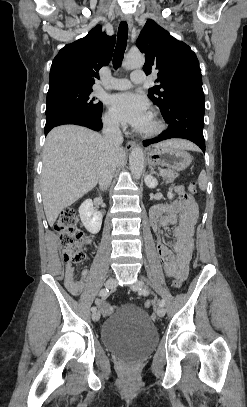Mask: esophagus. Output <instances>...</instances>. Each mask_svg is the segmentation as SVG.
<instances>
[{
  "label": "esophagus",
  "instance_id": "1",
  "mask_svg": "<svg viewBox=\"0 0 247 407\" xmlns=\"http://www.w3.org/2000/svg\"><path fill=\"white\" fill-rule=\"evenodd\" d=\"M122 19H123V21H126V22H127L129 28H132V26H133V20H132L131 17H129V16H127V15H123V16H122ZM134 146H135V142H134V141H127V142H126V145H125V148H126L127 150H130V149H132Z\"/></svg>",
  "mask_w": 247,
  "mask_h": 407
}]
</instances>
